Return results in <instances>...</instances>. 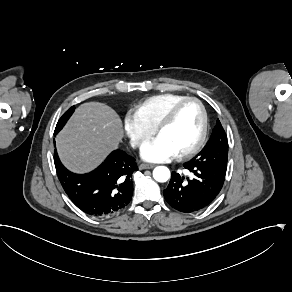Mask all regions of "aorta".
I'll return each mask as SVG.
<instances>
[{
    "instance_id": "obj_1",
    "label": "aorta",
    "mask_w": 292,
    "mask_h": 292,
    "mask_svg": "<svg viewBox=\"0 0 292 292\" xmlns=\"http://www.w3.org/2000/svg\"><path fill=\"white\" fill-rule=\"evenodd\" d=\"M153 178L157 182L164 183L170 178V171L165 166H158L153 170Z\"/></svg>"
}]
</instances>
